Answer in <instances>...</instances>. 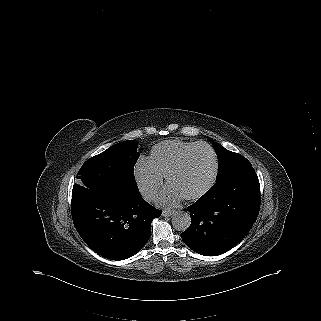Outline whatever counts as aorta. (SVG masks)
<instances>
[{
	"mask_svg": "<svg viewBox=\"0 0 321 321\" xmlns=\"http://www.w3.org/2000/svg\"><path fill=\"white\" fill-rule=\"evenodd\" d=\"M191 225L190 214L184 211H177L172 216V226L177 231H186Z\"/></svg>",
	"mask_w": 321,
	"mask_h": 321,
	"instance_id": "1",
	"label": "aorta"
}]
</instances>
